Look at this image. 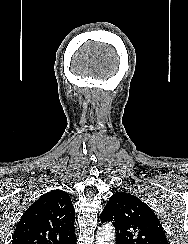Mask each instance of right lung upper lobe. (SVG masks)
Instances as JSON below:
<instances>
[{"instance_id": "cb5924a9", "label": "right lung upper lobe", "mask_w": 188, "mask_h": 244, "mask_svg": "<svg viewBox=\"0 0 188 244\" xmlns=\"http://www.w3.org/2000/svg\"><path fill=\"white\" fill-rule=\"evenodd\" d=\"M75 210L68 193L56 189L35 201L23 214L12 244H71Z\"/></svg>"}]
</instances>
